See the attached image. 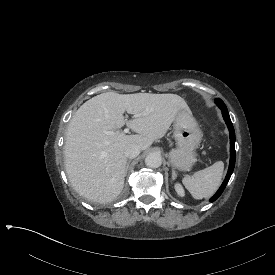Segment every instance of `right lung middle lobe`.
<instances>
[{
	"label": "right lung middle lobe",
	"mask_w": 275,
	"mask_h": 275,
	"mask_svg": "<svg viewBox=\"0 0 275 275\" xmlns=\"http://www.w3.org/2000/svg\"><path fill=\"white\" fill-rule=\"evenodd\" d=\"M125 195H126V192L122 191L120 194L114 196L113 198H100L99 200L98 199H92L91 203L92 204H98L99 202L104 203V204L114 203L115 201H119Z\"/></svg>",
	"instance_id": "1"
}]
</instances>
